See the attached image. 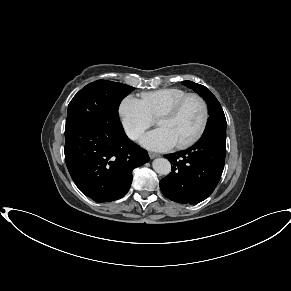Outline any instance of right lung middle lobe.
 <instances>
[{"label":"right lung middle lobe","instance_id":"obj_1","mask_svg":"<svg viewBox=\"0 0 291 291\" xmlns=\"http://www.w3.org/2000/svg\"><path fill=\"white\" fill-rule=\"evenodd\" d=\"M133 89L129 85L106 80L86 85L69 103L66 123L75 121L96 127L119 121L120 102Z\"/></svg>","mask_w":291,"mask_h":291}]
</instances>
